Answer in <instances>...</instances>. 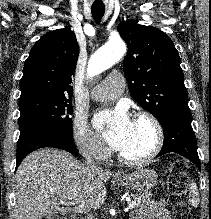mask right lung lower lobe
Instances as JSON below:
<instances>
[{
  "mask_svg": "<svg viewBox=\"0 0 211 219\" xmlns=\"http://www.w3.org/2000/svg\"><path fill=\"white\" fill-rule=\"evenodd\" d=\"M43 147H54L76 154L78 150L74 144L73 135H65L55 130H37L19 137L17 144L16 168L32 151Z\"/></svg>",
  "mask_w": 211,
  "mask_h": 219,
  "instance_id": "right-lung-lower-lobe-1",
  "label": "right lung lower lobe"
}]
</instances>
